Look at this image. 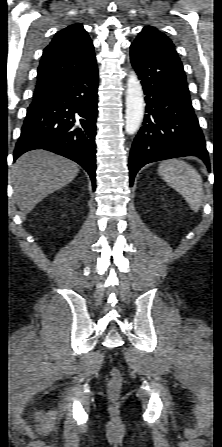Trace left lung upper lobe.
I'll list each match as a JSON object with an SVG mask.
<instances>
[{
    "mask_svg": "<svg viewBox=\"0 0 222 447\" xmlns=\"http://www.w3.org/2000/svg\"><path fill=\"white\" fill-rule=\"evenodd\" d=\"M140 35L158 38L174 46L171 40L166 35H164L160 31H158L155 27L152 26L144 27L143 30L140 32Z\"/></svg>",
    "mask_w": 222,
    "mask_h": 447,
    "instance_id": "obj_1",
    "label": "left lung upper lobe"
}]
</instances>
